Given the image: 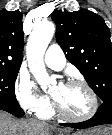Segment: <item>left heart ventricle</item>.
<instances>
[{
	"label": "left heart ventricle",
	"instance_id": "obj_1",
	"mask_svg": "<svg viewBox=\"0 0 112 135\" xmlns=\"http://www.w3.org/2000/svg\"><path fill=\"white\" fill-rule=\"evenodd\" d=\"M50 94L67 113L80 116L90 109L89 95L82 86L55 84Z\"/></svg>",
	"mask_w": 112,
	"mask_h": 135
}]
</instances>
